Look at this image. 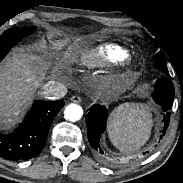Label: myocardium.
<instances>
[{
    "label": "myocardium",
    "instance_id": "f54148a6",
    "mask_svg": "<svg viewBox=\"0 0 183 183\" xmlns=\"http://www.w3.org/2000/svg\"><path fill=\"white\" fill-rule=\"evenodd\" d=\"M135 64L134 57L128 54L117 62V67L120 71H130L134 68Z\"/></svg>",
    "mask_w": 183,
    "mask_h": 183
}]
</instances>
